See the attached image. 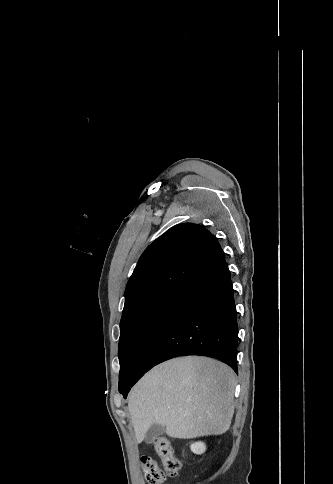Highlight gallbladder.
<instances>
[{
	"instance_id": "bac80fb5",
	"label": "gallbladder",
	"mask_w": 333,
	"mask_h": 484,
	"mask_svg": "<svg viewBox=\"0 0 333 484\" xmlns=\"http://www.w3.org/2000/svg\"><path fill=\"white\" fill-rule=\"evenodd\" d=\"M165 433V427L159 424H153L145 434V441L151 443L154 439Z\"/></svg>"
}]
</instances>
